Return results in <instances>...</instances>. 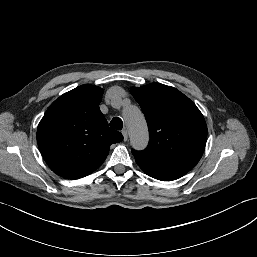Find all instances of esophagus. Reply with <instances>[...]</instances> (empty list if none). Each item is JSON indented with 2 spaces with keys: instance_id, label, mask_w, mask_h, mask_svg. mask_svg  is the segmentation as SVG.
<instances>
[{
  "instance_id": "34e87169",
  "label": "esophagus",
  "mask_w": 257,
  "mask_h": 257,
  "mask_svg": "<svg viewBox=\"0 0 257 257\" xmlns=\"http://www.w3.org/2000/svg\"><path fill=\"white\" fill-rule=\"evenodd\" d=\"M122 135H123V140H124V141H127V140H128V133H127V130H126V129H123V130H122Z\"/></svg>"
}]
</instances>
